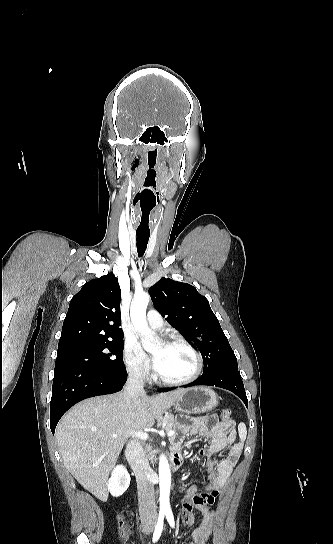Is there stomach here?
Returning a JSON list of instances; mask_svg holds the SVG:
<instances>
[{"label":"stomach","instance_id":"stomach-1","mask_svg":"<svg viewBox=\"0 0 333 544\" xmlns=\"http://www.w3.org/2000/svg\"><path fill=\"white\" fill-rule=\"evenodd\" d=\"M218 404L217 394L207 387L184 390L175 401V409L186 414H200L213 410Z\"/></svg>","mask_w":333,"mask_h":544}]
</instances>
